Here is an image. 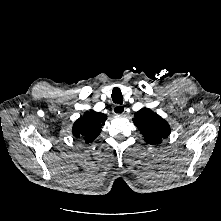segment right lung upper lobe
<instances>
[{
  "label": "right lung upper lobe",
  "mask_w": 221,
  "mask_h": 221,
  "mask_svg": "<svg viewBox=\"0 0 221 221\" xmlns=\"http://www.w3.org/2000/svg\"><path fill=\"white\" fill-rule=\"evenodd\" d=\"M106 116L102 113L90 110L84 113L73 125L75 137H81L86 143L92 142L101 132Z\"/></svg>",
  "instance_id": "1"
}]
</instances>
